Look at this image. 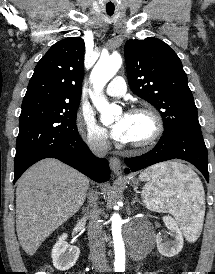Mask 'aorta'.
Returning <instances> with one entry per match:
<instances>
[{"label":"aorta","mask_w":215,"mask_h":274,"mask_svg":"<svg viewBox=\"0 0 215 274\" xmlns=\"http://www.w3.org/2000/svg\"><path fill=\"white\" fill-rule=\"evenodd\" d=\"M122 65V58L119 54H112L107 57H101L91 72L92 83L95 94L91 96L92 102L101 114V122L109 124L114 120V115L120 111V107L109 104L107 100L101 96L106 83L116 74ZM113 226V242L115 248L114 267L117 272L125 269V247L121 234V218L115 213L111 217Z\"/></svg>","instance_id":"1"}]
</instances>
